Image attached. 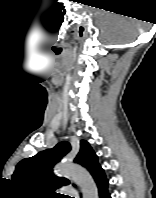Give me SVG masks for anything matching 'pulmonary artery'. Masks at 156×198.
<instances>
[{
	"mask_svg": "<svg viewBox=\"0 0 156 198\" xmlns=\"http://www.w3.org/2000/svg\"><path fill=\"white\" fill-rule=\"evenodd\" d=\"M64 190H73L72 187H65Z\"/></svg>",
	"mask_w": 156,
	"mask_h": 198,
	"instance_id": "1",
	"label": "pulmonary artery"
}]
</instances>
